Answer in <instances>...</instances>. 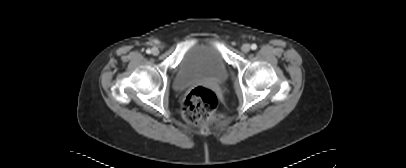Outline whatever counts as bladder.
I'll use <instances>...</instances> for the list:
<instances>
[{"mask_svg":"<svg viewBox=\"0 0 406 168\" xmlns=\"http://www.w3.org/2000/svg\"><path fill=\"white\" fill-rule=\"evenodd\" d=\"M228 78V68L220 52L209 44H196L183 54L173 87L184 90L199 80L224 82Z\"/></svg>","mask_w":406,"mask_h":168,"instance_id":"bladder-1","label":"bladder"}]
</instances>
